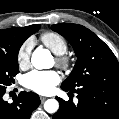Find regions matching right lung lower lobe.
Returning a JSON list of instances; mask_svg holds the SVG:
<instances>
[{
  "label": "right lung lower lobe",
  "mask_w": 119,
  "mask_h": 119,
  "mask_svg": "<svg viewBox=\"0 0 119 119\" xmlns=\"http://www.w3.org/2000/svg\"><path fill=\"white\" fill-rule=\"evenodd\" d=\"M7 86H0V119H30L32 112L40 105L34 92H21L13 103L3 100Z\"/></svg>",
  "instance_id": "98d812e1"
}]
</instances>
